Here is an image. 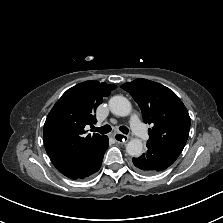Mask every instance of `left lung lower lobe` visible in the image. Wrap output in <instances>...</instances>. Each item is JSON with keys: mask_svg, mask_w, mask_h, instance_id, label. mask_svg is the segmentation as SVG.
Masks as SVG:
<instances>
[{"mask_svg": "<svg viewBox=\"0 0 223 223\" xmlns=\"http://www.w3.org/2000/svg\"><path fill=\"white\" fill-rule=\"evenodd\" d=\"M180 153L168 146L147 143V151L140 157L133 158L132 161L138 172L152 175L172 165Z\"/></svg>", "mask_w": 223, "mask_h": 223, "instance_id": "0a47b994", "label": "left lung lower lobe"}]
</instances>
